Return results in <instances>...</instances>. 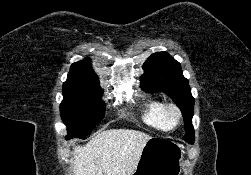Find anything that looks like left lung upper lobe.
Instances as JSON below:
<instances>
[{
    "mask_svg": "<svg viewBox=\"0 0 251 175\" xmlns=\"http://www.w3.org/2000/svg\"><path fill=\"white\" fill-rule=\"evenodd\" d=\"M143 69L144 74L140 78L142 89L148 92H164L172 98L184 116L186 134L183 139L192 144L194 98L180 63L166 52H157L147 59Z\"/></svg>",
    "mask_w": 251,
    "mask_h": 175,
    "instance_id": "left-lung-upper-lobe-1",
    "label": "left lung upper lobe"
}]
</instances>
